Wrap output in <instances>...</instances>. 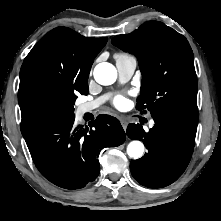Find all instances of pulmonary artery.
Here are the masks:
<instances>
[{
    "mask_svg": "<svg viewBox=\"0 0 221 221\" xmlns=\"http://www.w3.org/2000/svg\"><path fill=\"white\" fill-rule=\"evenodd\" d=\"M115 60H116V68L118 71L119 81L121 83H125L134 74V71L137 66V61L134 57L126 55L116 56ZM107 98L108 95H102L93 101L83 103L77 108V113L79 115H83L87 112H91L94 109L98 108L100 105H102L107 100ZM152 124L153 122H151V125Z\"/></svg>",
    "mask_w": 221,
    "mask_h": 221,
    "instance_id": "e3ab8cb5",
    "label": "pulmonary artery"
}]
</instances>
